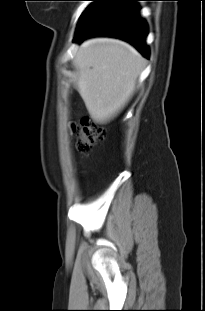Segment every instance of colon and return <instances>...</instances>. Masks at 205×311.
Returning a JSON list of instances; mask_svg holds the SVG:
<instances>
[{
  "mask_svg": "<svg viewBox=\"0 0 205 311\" xmlns=\"http://www.w3.org/2000/svg\"><path fill=\"white\" fill-rule=\"evenodd\" d=\"M76 135L78 137V150L82 153H88L97 141L104 138L105 130L92 120L84 118L76 128Z\"/></svg>",
  "mask_w": 205,
  "mask_h": 311,
  "instance_id": "5ec220e1",
  "label": "colon"
}]
</instances>
